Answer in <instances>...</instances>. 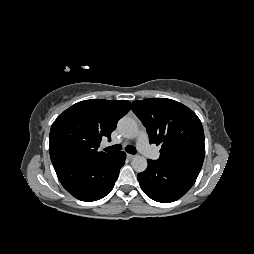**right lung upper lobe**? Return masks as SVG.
Instances as JSON below:
<instances>
[{"instance_id": "right-lung-upper-lobe-1", "label": "right lung upper lobe", "mask_w": 254, "mask_h": 254, "mask_svg": "<svg viewBox=\"0 0 254 254\" xmlns=\"http://www.w3.org/2000/svg\"><path fill=\"white\" fill-rule=\"evenodd\" d=\"M127 100L92 99L78 102L57 117L51 126L49 151L52 163L71 158L108 156L99 152L101 139L115 130L130 110Z\"/></svg>"}]
</instances>
